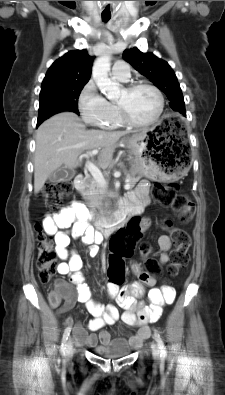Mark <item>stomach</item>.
<instances>
[{
  "label": "stomach",
  "instance_id": "obj_1",
  "mask_svg": "<svg viewBox=\"0 0 225 395\" xmlns=\"http://www.w3.org/2000/svg\"><path fill=\"white\" fill-rule=\"evenodd\" d=\"M157 127L124 140L135 157L131 173H138L150 180L181 178L187 170L185 162L182 161V153L177 155L172 148H167V140L156 130Z\"/></svg>",
  "mask_w": 225,
  "mask_h": 395
}]
</instances>
